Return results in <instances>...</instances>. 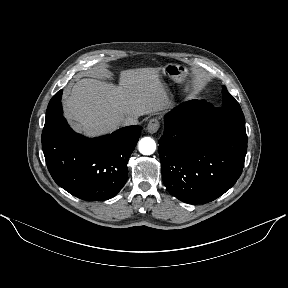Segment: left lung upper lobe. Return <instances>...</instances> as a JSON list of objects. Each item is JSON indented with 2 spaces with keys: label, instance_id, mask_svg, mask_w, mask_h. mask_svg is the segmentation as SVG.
Returning <instances> with one entry per match:
<instances>
[{
  "label": "left lung upper lobe",
  "instance_id": "obj_1",
  "mask_svg": "<svg viewBox=\"0 0 288 288\" xmlns=\"http://www.w3.org/2000/svg\"><path fill=\"white\" fill-rule=\"evenodd\" d=\"M222 99L223 104L222 107L217 108V111L220 114L232 117L236 120L245 122V118L239 103L235 100V98L227 91L226 87L222 88Z\"/></svg>",
  "mask_w": 288,
  "mask_h": 288
}]
</instances>
